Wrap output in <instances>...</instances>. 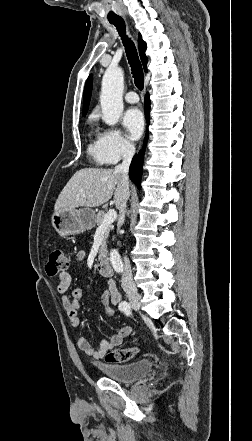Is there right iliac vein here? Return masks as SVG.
Instances as JSON below:
<instances>
[{"label": "right iliac vein", "mask_w": 252, "mask_h": 441, "mask_svg": "<svg viewBox=\"0 0 252 441\" xmlns=\"http://www.w3.org/2000/svg\"><path fill=\"white\" fill-rule=\"evenodd\" d=\"M126 294L129 299V302L131 304V307L136 311L139 310V308H140V295H139V293L134 289H127Z\"/></svg>", "instance_id": "obj_1"}]
</instances>
